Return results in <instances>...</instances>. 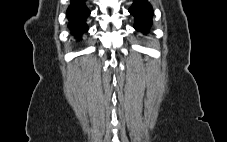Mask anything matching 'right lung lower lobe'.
<instances>
[{
	"mask_svg": "<svg viewBox=\"0 0 227 142\" xmlns=\"http://www.w3.org/2000/svg\"><path fill=\"white\" fill-rule=\"evenodd\" d=\"M90 15L89 9L85 5V0H72L67 10L69 19L68 27L75 36H80L88 30L86 18Z\"/></svg>",
	"mask_w": 227,
	"mask_h": 142,
	"instance_id": "obj_1",
	"label": "right lung lower lobe"
}]
</instances>
